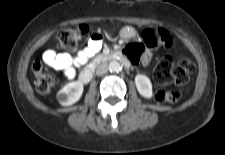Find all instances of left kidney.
<instances>
[{
	"mask_svg": "<svg viewBox=\"0 0 225 155\" xmlns=\"http://www.w3.org/2000/svg\"><path fill=\"white\" fill-rule=\"evenodd\" d=\"M135 84L137 87V90L139 94L145 98H151L152 97V84L150 79L145 76L138 74L135 77Z\"/></svg>",
	"mask_w": 225,
	"mask_h": 155,
	"instance_id": "obj_1",
	"label": "left kidney"
}]
</instances>
